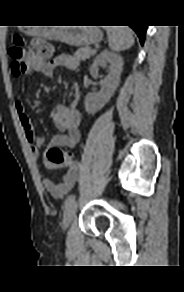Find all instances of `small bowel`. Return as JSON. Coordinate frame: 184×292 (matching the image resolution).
Wrapping results in <instances>:
<instances>
[{
    "label": "small bowel",
    "instance_id": "1",
    "mask_svg": "<svg viewBox=\"0 0 184 292\" xmlns=\"http://www.w3.org/2000/svg\"><path fill=\"white\" fill-rule=\"evenodd\" d=\"M79 65L77 59L69 54H58L50 61L34 64L31 71L51 77L56 68L76 69ZM79 91L78 86L73 88V99L69 106L57 105L51 112V119L56 128L61 132L52 140V146L74 148L80 141L81 133L79 130L81 115L76 109ZM15 109L19 117L30 150L34 156L39 154V148L42 140L36 135L34 127L29 116L26 114L25 106L22 100L15 101ZM44 165L49 169L66 168L62 180L54 183L49 178H44L42 183L44 188L54 197L62 198L74 187L79 174V164L77 162L68 165H55L50 162L47 156H44Z\"/></svg>",
    "mask_w": 184,
    "mask_h": 292
}]
</instances>
